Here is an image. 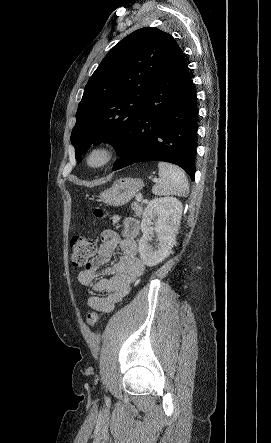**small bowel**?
I'll use <instances>...</instances> for the list:
<instances>
[{"instance_id": "obj_1", "label": "small bowel", "mask_w": 271, "mask_h": 443, "mask_svg": "<svg viewBox=\"0 0 271 443\" xmlns=\"http://www.w3.org/2000/svg\"><path fill=\"white\" fill-rule=\"evenodd\" d=\"M138 230L139 224L134 219L127 220L122 234L112 229L104 230L97 254L79 272V283L92 285L97 293L88 300L92 310L101 313L113 311L129 292L130 285L142 274L144 265L138 257L135 241ZM115 254H118V261L107 267ZM97 277L101 278L95 281Z\"/></svg>"}]
</instances>
